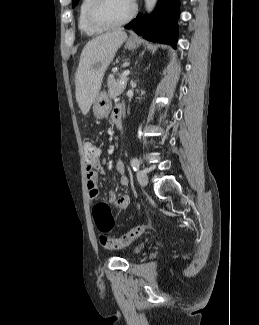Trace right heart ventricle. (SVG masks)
<instances>
[{
    "instance_id": "1",
    "label": "right heart ventricle",
    "mask_w": 259,
    "mask_h": 325,
    "mask_svg": "<svg viewBox=\"0 0 259 325\" xmlns=\"http://www.w3.org/2000/svg\"><path fill=\"white\" fill-rule=\"evenodd\" d=\"M91 0H81L78 7V28L81 33L87 36H95L102 33L105 29L93 26L87 17V11Z\"/></svg>"
}]
</instances>
